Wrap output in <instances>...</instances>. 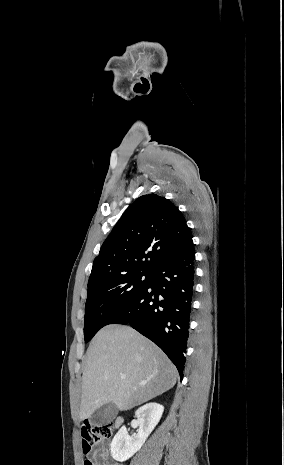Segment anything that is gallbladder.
Masks as SVG:
<instances>
[{
  "mask_svg": "<svg viewBox=\"0 0 284 465\" xmlns=\"http://www.w3.org/2000/svg\"><path fill=\"white\" fill-rule=\"evenodd\" d=\"M118 413V409L115 403H107V405H103L101 409L95 411L94 415L89 417V423H91L92 427H103V425H109L112 423L113 419H115Z\"/></svg>",
  "mask_w": 284,
  "mask_h": 465,
  "instance_id": "gallbladder-1",
  "label": "gallbladder"
}]
</instances>
